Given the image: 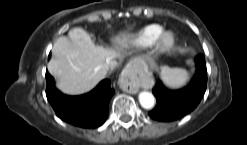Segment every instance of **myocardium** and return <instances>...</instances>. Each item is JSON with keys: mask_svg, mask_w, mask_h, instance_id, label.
Returning <instances> with one entry per match:
<instances>
[{"mask_svg": "<svg viewBox=\"0 0 247 145\" xmlns=\"http://www.w3.org/2000/svg\"><path fill=\"white\" fill-rule=\"evenodd\" d=\"M176 35L172 30H162L154 41V47L159 53H167L175 46Z\"/></svg>", "mask_w": 247, "mask_h": 145, "instance_id": "1", "label": "myocardium"}]
</instances>
